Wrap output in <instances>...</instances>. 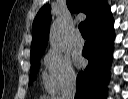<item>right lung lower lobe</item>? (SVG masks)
Wrapping results in <instances>:
<instances>
[{"mask_svg": "<svg viewBox=\"0 0 128 99\" xmlns=\"http://www.w3.org/2000/svg\"><path fill=\"white\" fill-rule=\"evenodd\" d=\"M114 20L107 7L88 26L89 39L83 48V56L89 64L77 76L75 99H105L109 81L108 68L111 65L113 51Z\"/></svg>", "mask_w": 128, "mask_h": 99, "instance_id": "obj_1", "label": "right lung lower lobe"}]
</instances>
